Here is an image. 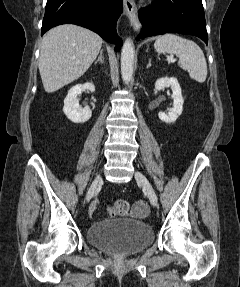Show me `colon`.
<instances>
[{
	"mask_svg": "<svg viewBox=\"0 0 240 287\" xmlns=\"http://www.w3.org/2000/svg\"><path fill=\"white\" fill-rule=\"evenodd\" d=\"M129 203L125 199H118L116 200L108 209V213L110 216H122L126 215L129 212ZM132 214L135 216H142V212L134 213L132 211Z\"/></svg>",
	"mask_w": 240,
	"mask_h": 287,
	"instance_id": "colon-1",
	"label": "colon"
}]
</instances>
